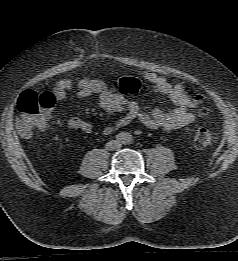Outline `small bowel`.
<instances>
[{
    "label": "small bowel",
    "mask_w": 238,
    "mask_h": 261,
    "mask_svg": "<svg viewBox=\"0 0 238 261\" xmlns=\"http://www.w3.org/2000/svg\"><path fill=\"white\" fill-rule=\"evenodd\" d=\"M139 76L150 83L154 92L167 96L174 104V108L168 111L155 108L145 112L141 110L136 102L128 100L122 93L115 90L112 85L99 79L87 77L78 80H59L49 93L54 97L55 101L66 100L72 91H75V95L82 99L95 96L98 105L107 115L111 116L118 112H124L123 116L104 128V134L107 135L136 120L149 130H163L166 132L175 131L195 121L199 112V105L186 92L182 83L170 84L164 77L149 71H143ZM46 126L45 119L44 125L40 129L44 130ZM67 126L70 129L81 130L86 133L93 130L92 123L78 117L70 118L67 121Z\"/></svg>",
    "instance_id": "c3829d8e"
}]
</instances>
